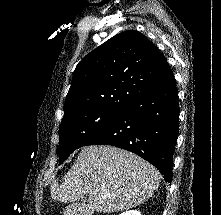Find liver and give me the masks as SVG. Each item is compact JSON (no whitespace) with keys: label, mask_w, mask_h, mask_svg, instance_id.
I'll return each mask as SVG.
<instances>
[{"label":"liver","mask_w":221,"mask_h":215,"mask_svg":"<svg viewBox=\"0 0 221 215\" xmlns=\"http://www.w3.org/2000/svg\"><path fill=\"white\" fill-rule=\"evenodd\" d=\"M160 172L127 150L106 145L82 148L63 183H52L53 201H79L88 194L91 210L111 213L146 202L159 187Z\"/></svg>","instance_id":"liver-1"}]
</instances>
